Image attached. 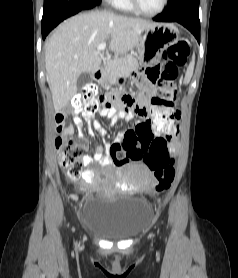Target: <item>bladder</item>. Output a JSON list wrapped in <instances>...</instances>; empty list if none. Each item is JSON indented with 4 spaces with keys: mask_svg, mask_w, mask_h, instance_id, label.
<instances>
[{
    "mask_svg": "<svg viewBox=\"0 0 238 278\" xmlns=\"http://www.w3.org/2000/svg\"><path fill=\"white\" fill-rule=\"evenodd\" d=\"M89 198L82 208V226L103 238H133L144 232L152 221V206L146 198L125 194Z\"/></svg>",
    "mask_w": 238,
    "mask_h": 278,
    "instance_id": "obj_1",
    "label": "bladder"
}]
</instances>
